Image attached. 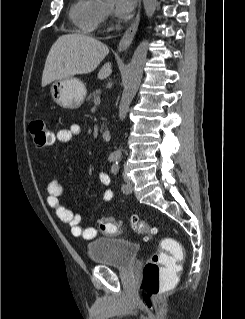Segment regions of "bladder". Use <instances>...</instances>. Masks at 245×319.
Here are the masks:
<instances>
[{"label": "bladder", "mask_w": 245, "mask_h": 319, "mask_svg": "<svg viewBox=\"0 0 245 319\" xmlns=\"http://www.w3.org/2000/svg\"><path fill=\"white\" fill-rule=\"evenodd\" d=\"M138 250L136 242L119 238H93L88 244L93 263L124 269L134 263Z\"/></svg>", "instance_id": "bladder-1"}]
</instances>
